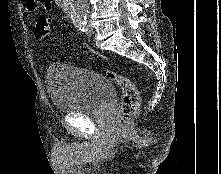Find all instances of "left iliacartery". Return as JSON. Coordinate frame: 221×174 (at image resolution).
Returning a JSON list of instances; mask_svg holds the SVG:
<instances>
[{"label": "left iliac artery", "instance_id": "left-iliac-artery-1", "mask_svg": "<svg viewBox=\"0 0 221 174\" xmlns=\"http://www.w3.org/2000/svg\"><path fill=\"white\" fill-rule=\"evenodd\" d=\"M85 25H86V22H85ZM85 25H84V26H85ZM82 31H84V28H83V30H82Z\"/></svg>", "mask_w": 221, "mask_h": 174}]
</instances>
